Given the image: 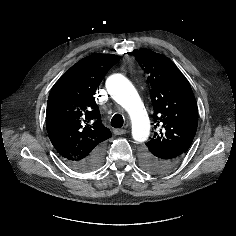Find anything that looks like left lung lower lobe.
<instances>
[{"instance_id": "0a47b994", "label": "left lung lower lobe", "mask_w": 236, "mask_h": 236, "mask_svg": "<svg viewBox=\"0 0 236 236\" xmlns=\"http://www.w3.org/2000/svg\"><path fill=\"white\" fill-rule=\"evenodd\" d=\"M184 153L180 151H170L160 155V159L156 164V171L152 173H164L175 167Z\"/></svg>"}]
</instances>
